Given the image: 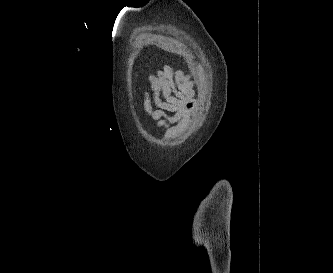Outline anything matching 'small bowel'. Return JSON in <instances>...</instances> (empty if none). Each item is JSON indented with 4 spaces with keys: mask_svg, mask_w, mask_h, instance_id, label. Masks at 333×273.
I'll return each instance as SVG.
<instances>
[{
    "mask_svg": "<svg viewBox=\"0 0 333 273\" xmlns=\"http://www.w3.org/2000/svg\"><path fill=\"white\" fill-rule=\"evenodd\" d=\"M147 77L151 92H144L143 109L158 127L166 134H171L176 128L170 129L169 124L177 119L183 123L186 111L194 105L191 81L183 71L174 70L168 65L155 73L148 72ZM169 112H175L176 115L170 117Z\"/></svg>",
    "mask_w": 333,
    "mask_h": 273,
    "instance_id": "obj_1",
    "label": "small bowel"
}]
</instances>
